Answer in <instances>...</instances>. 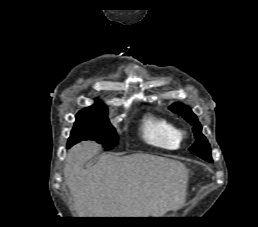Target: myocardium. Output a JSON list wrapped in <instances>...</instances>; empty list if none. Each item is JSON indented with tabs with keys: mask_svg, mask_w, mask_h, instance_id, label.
<instances>
[{
	"mask_svg": "<svg viewBox=\"0 0 258 227\" xmlns=\"http://www.w3.org/2000/svg\"><path fill=\"white\" fill-rule=\"evenodd\" d=\"M187 136H188V132L186 130L180 131V137H187Z\"/></svg>",
	"mask_w": 258,
	"mask_h": 227,
	"instance_id": "f54148a6",
	"label": "myocardium"
}]
</instances>
